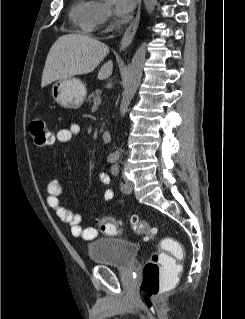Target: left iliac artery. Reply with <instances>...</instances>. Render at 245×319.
<instances>
[{
  "mask_svg": "<svg viewBox=\"0 0 245 319\" xmlns=\"http://www.w3.org/2000/svg\"><path fill=\"white\" fill-rule=\"evenodd\" d=\"M111 172L114 176H118L119 174V166L117 164H114L112 167H111ZM120 188L122 191H125L126 190V184H124L123 182L120 183Z\"/></svg>",
  "mask_w": 245,
  "mask_h": 319,
  "instance_id": "1",
  "label": "left iliac artery"
}]
</instances>
